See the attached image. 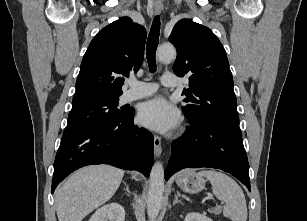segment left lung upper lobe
<instances>
[{"label":"left lung upper lobe","mask_w":307,"mask_h":221,"mask_svg":"<svg viewBox=\"0 0 307 221\" xmlns=\"http://www.w3.org/2000/svg\"><path fill=\"white\" fill-rule=\"evenodd\" d=\"M169 41L177 50L173 71L188 74L187 103L182 109L190 123H211L242 135L233 78L224 47L213 32L188 19L178 21Z\"/></svg>","instance_id":"obj_1"}]
</instances>
